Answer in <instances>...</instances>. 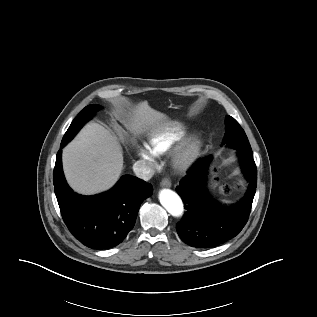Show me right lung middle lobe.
<instances>
[{"label":"right lung middle lobe","mask_w":317,"mask_h":317,"mask_svg":"<svg viewBox=\"0 0 317 317\" xmlns=\"http://www.w3.org/2000/svg\"><path fill=\"white\" fill-rule=\"evenodd\" d=\"M101 108L102 107L97 104L88 105L87 107H85L71 123L70 127L68 128L62 139V142H69L79 131V129L93 117L94 113Z\"/></svg>","instance_id":"dd1d6c3e"}]
</instances>
